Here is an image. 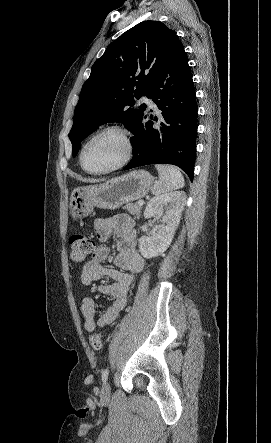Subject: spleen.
<instances>
[{
  "label": "spleen",
  "instance_id": "1",
  "mask_svg": "<svg viewBox=\"0 0 271 443\" xmlns=\"http://www.w3.org/2000/svg\"><path fill=\"white\" fill-rule=\"evenodd\" d=\"M155 168L159 174V180L155 182L151 190L153 196H162V194H167V192H172V190L184 188V178L178 168H174V166H161V164H157Z\"/></svg>",
  "mask_w": 271,
  "mask_h": 443
}]
</instances>
